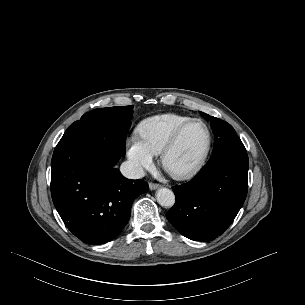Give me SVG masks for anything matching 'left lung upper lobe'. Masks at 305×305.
<instances>
[{"label": "left lung upper lobe", "mask_w": 305, "mask_h": 305, "mask_svg": "<svg viewBox=\"0 0 305 305\" xmlns=\"http://www.w3.org/2000/svg\"><path fill=\"white\" fill-rule=\"evenodd\" d=\"M201 115L207 120H211V127L214 133V149L209 160H214L229 152H246V149L236 134L234 128L216 117H210L201 112Z\"/></svg>", "instance_id": "1"}]
</instances>
